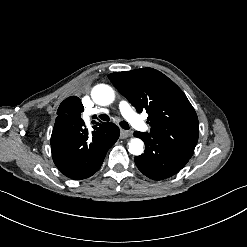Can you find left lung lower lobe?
<instances>
[{
    "mask_svg": "<svg viewBox=\"0 0 247 247\" xmlns=\"http://www.w3.org/2000/svg\"><path fill=\"white\" fill-rule=\"evenodd\" d=\"M134 136L145 143V151L134 158L138 169L148 178L163 180L178 173L189 161V157L166 146L160 145L142 132Z\"/></svg>",
    "mask_w": 247,
    "mask_h": 247,
    "instance_id": "obj_1",
    "label": "left lung lower lobe"
}]
</instances>
